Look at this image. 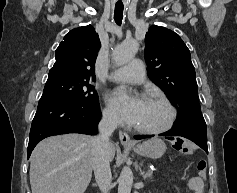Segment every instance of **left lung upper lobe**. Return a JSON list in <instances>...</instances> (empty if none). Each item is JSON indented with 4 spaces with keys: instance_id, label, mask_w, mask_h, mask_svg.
<instances>
[{
    "instance_id": "5c2ea615",
    "label": "left lung upper lobe",
    "mask_w": 237,
    "mask_h": 193,
    "mask_svg": "<svg viewBox=\"0 0 237 193\" xmlns=\"http://www.w3.org/2000/svg\"><path fill=\"white\" fill-rule=\"evenodd\" d=\"M149 78L178 109L175 128L207 131L198 101V88L189 49L175 32L151 26L145 37Z\"/></svg>"
}]
</instances>
